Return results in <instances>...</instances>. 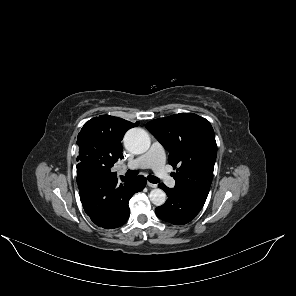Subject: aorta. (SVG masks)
<instances>
[{
    "instance_id": "1",
    "label": "aorta",
    "mask_w": 296,
    "mask_h": 296,
    "mask_svg": "<svg viewBox=\"0 0 296 296\" xmlns=\"http://www.w3.org/2000/svg\"><path fill=\"white\" fill-rule=\"evenodd\" d=\"M150 136L141 128H132L124 136L125 148L133 154H142L150 147ZM150 201L156 205L161 206L166 201V193L157 188L153 189L149 194Z\"/></svg>"
}]
</instances>
